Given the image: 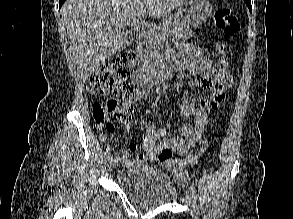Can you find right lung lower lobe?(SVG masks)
Instances as JSON below:
<instances>
[{"mask_svg":"<svg viewBox=\"0 0 293 219\" xmlns=\"http://www.w3.org/2000/svg\"><path fill=\"white\" fill-rule=\"evenodd\" d=\"M65 0H59V8L61 7V5L64 3Z\"/></svg>","mask_w":293,"mask_h":219,"instance_id":"98d812e1","label":"right lung lower lobe"}]
</instances>
